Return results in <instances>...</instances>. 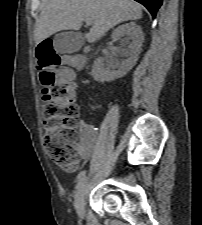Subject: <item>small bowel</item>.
<instances>
[{"label": "small bowel", "mask_w": 202, "mask_h": 225, "mask_svg": "<svg viewBox=\"0 0 202 225\" xmlns=\"http://www.w3.org/2000/svg\"><path fill=\"white\" fill-rule=\"evenodd\" d=\"M62 73L64 72L62 71ZM70 83L75 89V83ZM79 126L81 129V136L78 143L79 156L82 160H87L91 157L100 141L98 135L96 134L95 128L89 122L81 121Z\"/></svg>", "instance_id": "c3829d8e"}]
</instances>
